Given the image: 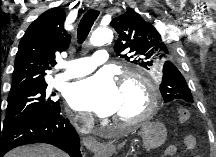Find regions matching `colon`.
Masks as SVG:
<instances>
[{"instance_id":"1","label":"colon","mask_w":216,"mask_h":157,"mask_svg":"<svg viewBox=\"0 0 216 157\" xmlns=\"http://www.w3.org/2000/svg\"><path fill=\"white\" fill-rule=\"evenodd\" d=\"M191 117L190 111L187 108L181 107L177 110V119L180 123L187 122Z\"/></svg>"}]
</instances>
